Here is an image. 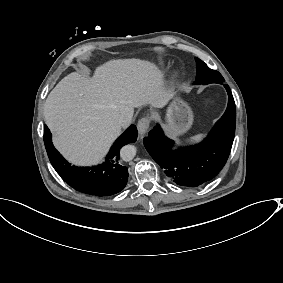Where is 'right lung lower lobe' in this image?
I'll return each mask as SVG.
<instances>
[{
	"instance_id": "right-lung-lower-lobe-1",
	"label": "right lung lower lobe",
	"mask_w": 283,
	"mask_h": 283,
	"mask_svg": "<svg viewBox=\"0 0 283 283\" xmlns=\"http://www.w3.org/2000/svg\"><path fill=\"white\" fill-rule=\"evenodd\" d=\"M44 144L50 162L61 178L79 192L109 196L120 192L127 184V167L119 164L120 149L137 139V129L131 125L113 144L106 161L98 166L76 167L69 164L55 149L48 127H44Z\"/></svg>"
}]
</instances>
